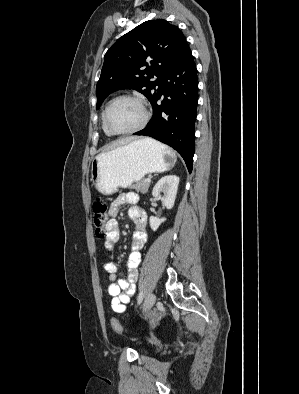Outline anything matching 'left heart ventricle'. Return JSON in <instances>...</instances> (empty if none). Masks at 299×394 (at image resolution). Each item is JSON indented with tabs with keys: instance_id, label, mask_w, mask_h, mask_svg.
<instances>
[{
	"instance_id": "left-heart-ventricle-1",
	"label": "left heart ventricle",
	"mask_w": 299,
	"mask_h": 394,
	"mask_svg": "<svg viewBox=\"0 0 299 394\" xmlns=\"http://www.w3.org/2000/svg\"><path fill=\"white\" fill-rule=\"evenodd\" d=\"M143 118L141 106L134 100L117 101L109 112V125L115 131H127L136 127Z\"/></svg>"
}]
</instances>
